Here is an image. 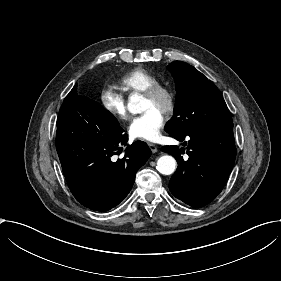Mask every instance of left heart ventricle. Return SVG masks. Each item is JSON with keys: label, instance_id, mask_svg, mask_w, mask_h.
Masks as SVG:
<instances>
[{"label": "left heart ventricle", "instance_id": "left-heart-ventricle-1", "mask_svg": "<svg viewBox=\"0 0 281 281\" xmlns=\"http://www.w3.org/2000/svg\"><path fill=\"white\" fill-rule=\"evenodd\" d=\"M149 109H154L160 112L157 106L153 105L150 101L143 97L141 112H145Z\"/></svg>", "mask_w": 281, "mask_h": 281}]
</instances>
